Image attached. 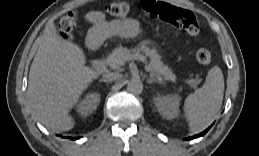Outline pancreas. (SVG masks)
I'll return each mask as SVG.
<instances>
[{
	"label": "pancreas",
	"mask_w": 259,
	"mask_h": 156,
	"mask_svg": "<svg viewBox=\"0 0 259 156\" xmlns=\"http://www.w3.org/2000/svg\"><path fill=\"white\" fill-rule=\"evenodd\" d=\"M147 56L150 58V66L153 69L154 74L164 77L166 80L174 81L175 75L168 66L161 62V56L157 53L155 48H151L146 44L128 49L127 47H119L112 51L107 57V64L112 69L119 70L120 67L129 60L138 56Z\"/></svg>",
	"instance_id": "cf45deb5"
}]
</instances>
